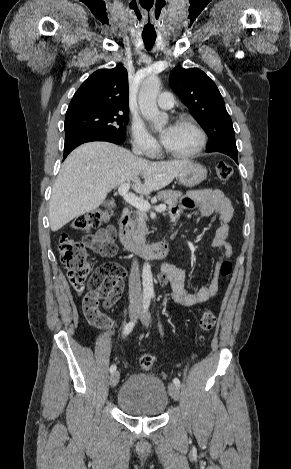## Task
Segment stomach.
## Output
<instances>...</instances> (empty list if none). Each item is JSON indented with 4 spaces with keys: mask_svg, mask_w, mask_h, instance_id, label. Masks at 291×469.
I'll use <instances>...</instances> for the list:
<instances>
[{
    "mask_svg": "<svg viewBox=\"0 0 291 469\" xmlns=\"http://www.w3.org/2000/svg\"><path fill=\"white\" fill-rule=\"evenodd\" d=\"M207 169L198 163L191 162L178 174L179 182L186 187H194L205 180Z\"/></svg>",
    "mask_w": 291,
    "mask_h": 469,
    "instance_id": "0dacf381",
    "label": "stomach"
}]
</instances>
